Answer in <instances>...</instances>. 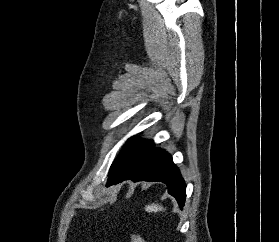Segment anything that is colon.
Wrapping results in <instances>:
<instances>
[{
  "mask_svg": "<svg viewBox=\"0 0 279 242\" xmlns=\"http://www.w3.org/2000/svg\"><path fill=\"white\" fill-rule=\"evenodd\" d=\"M130 242H147L144 239H142L140 236H138L137 234H132L130 236Z\"/></svg>",
  "mask_w": 279,
  "mask_h": 242,
  "instance_id": "5ec220e1",
  "label": "colon"
}]
</instances>
